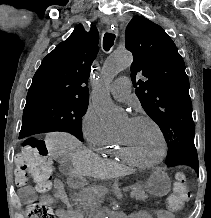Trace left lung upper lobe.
Masks as SVG:
<instances>
[{
    "label": "left lung upper lobe",
    "instance_id": "5c2ea615",
    "mask_svg": "<svg viewBox=\"0 0 211 218\" xmlns=\"http://www.w3.org/2000/svg\"><path fill=\"white\" fill-rule=\"evenodd\" d=\"M125 46L134 58L136 95L167 142V166L186 164L198 173L189 80L176 45L159 25L134 16L126 28Z\"/></svg>",
    "mask_w": 211,
    "mask_h": 218
}]
</instances>
